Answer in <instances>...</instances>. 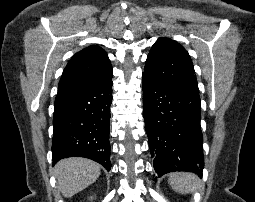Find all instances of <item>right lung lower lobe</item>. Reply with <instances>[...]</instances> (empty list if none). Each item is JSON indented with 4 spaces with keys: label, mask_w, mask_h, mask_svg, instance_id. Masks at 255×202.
<instances>
[{
    "label": "right lung lower lobe",
    "mask_w": 255,
    "mask_h": 202,
    "mask_svg": "<svg viewBox=\"0 0 255 202\" xmlns=\"http://www.w3.org/2000/svg\"><path fill=\"white\" fill-rule=\"evenodd\" d=\"M111 103V79L94 87L58 93L53 118V164L80 156L110 170Z\"/></svg>",
    "instance_id": "right-lung-lower-lobe-1"
}]
</instances>
